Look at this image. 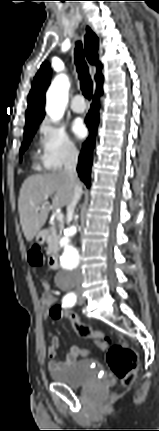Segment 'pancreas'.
Segmentation results:
<instances>
[{
  "instance_id": "1",
  "label": "pancreas",
  "mask_w": 159,
  "mask_h": 431,
  "mask_svg": "<svg viewBox=\"0 0 159 431\" xmlns=\"http://www.w3.org/2000/svg\"><path fill=\"white\" fill-rule=\"evenodd\" d=\"M59 227H62L61 223L59 224ZM60 237H61V232H59L58 234L56 226H52L50 240L48 242V247H47V254H52L59 250L58 242Z\"/></svg>"
}]
</instances>
